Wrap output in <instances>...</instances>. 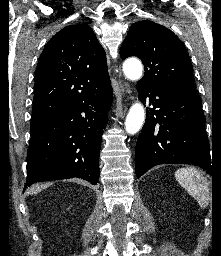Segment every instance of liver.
Listing matches in <instances>:
<instances>
[{"mask_svg": "<svg viewBox=\"0 0 221 256\" xmlns=\"http://www.w3.org/2000/svg\"><path fill=\"white\" fill-rule=\"evenodd\" d=\"M48 185H50V184L48 183V184H45V185H36V186H33V187H31V188L28 190V193H29V194H35V193L39 192L40 190L46 188Z\"/></svg>", "mask_w": 221, "mask_h": 256, "instance_id": "6515ba94", "label": "liver"}]
</instances>
